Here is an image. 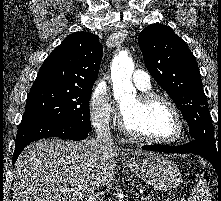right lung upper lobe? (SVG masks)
Wrapping results in <instances>:
<instances>
[{"mask_svg":"<svg viewBox=\"0 0 221 201\" xmlns=\"http://www.w3.org/2000/svg\"><path fill=\"white\" fill-rule=\"evenodd\" d=\"M102 54L97 35L73 33L45 59L32 88L92 89Z\"/></svg>","mask_w":221,"mask_h":201,"instance_id":"1","label":"right lung upper lobe"}]
</instances>
